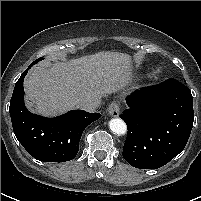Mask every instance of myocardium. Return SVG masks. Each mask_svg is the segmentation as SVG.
Returning a JSON list of instances; mask_svg holds the SVG:
<instances>
[{
  "label": "myocardium",
  "instance_id": "1",
  "mask_svg": "<svg viewBox=\"0 0 201 201\" xmlns=\"http://www.w3.org/2000/svg\"><path fill=\"white\" fill-rule=\"evenodd\" d=\"M161 74V69L157 68L156 70L153 71L152 77H157Z\"/></svg>",
  "mask_w": 201,
  "mask_h": 201
}]
</instances>
